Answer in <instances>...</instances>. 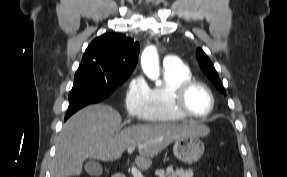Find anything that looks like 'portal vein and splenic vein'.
<instances>
[{
	"mask_svg": "<svg viewBox=\"0 0 287 177\" xmlns=\"http://www.w3.org/2000/svg\"><path fill=\"white\" fill-rule=\"evenodd\" d=\"M135 146L129 147L128 148V153L131 154L135 150ZM131 173L133 177H144L141 172L134 166L131 167Z\"/></svg>",
	"mask_w": 287,
	"mask_h": 177,
	"instance_id": "18ae733b",
	"label": "portal vein and splenic vein"
}]
</instances>
